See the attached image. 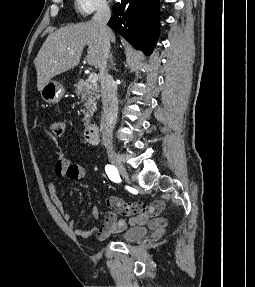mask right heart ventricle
I'll return each instance as SVG.
<instances>
[{
    "label": "right heart ventricle",
    "instance_id": "e07e8e85",
    "mask_svg": "<svg viewBox=\"0 0 255 287\" xmlns=\"http://www.w3.org/2000/svg\"><path fill=\"white\" fill-rule=\"evenodd\" d=\"M91 39V38H89ZM124 39H129V38H124ZM120 48H135V47H120Z\"/></svg>",
    "mask_w": 255,
    "mask_h": 287
}]
</instances>
